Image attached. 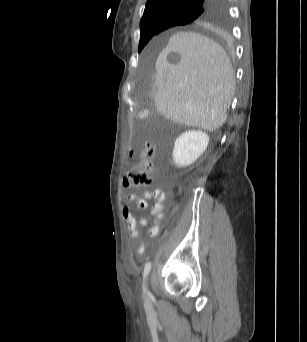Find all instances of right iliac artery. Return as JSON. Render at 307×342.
<instances>
[{"label": "right iliac artery", "instance_id": "82829eb1", "mask_svg": "<svg viewBox=\"0 0 307 342\" xmlns=\"http://www.w3.org/2000/svg\"><path fill=\"white\" fill-rule=\"evenodd\" d=\"M150 269H151V262H148L145 264V267H144V272H143L144 281H145L146 276L150 272ZM143 291H144V293L146 292V287H145L144 283H143Z\"/></svg>", "mask_w": 307, "mask_h": 342}]
</instances>
